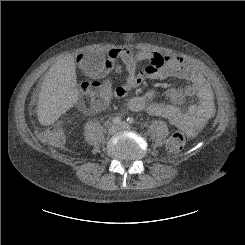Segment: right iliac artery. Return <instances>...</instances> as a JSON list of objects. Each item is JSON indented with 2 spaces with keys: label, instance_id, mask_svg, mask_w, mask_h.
Wrapping results in <instances>:
<instances>
[{
  "label": "right iliac artery",
  "instance_id": "right-iliac-artery-1",
  "mask_svg": "<svg viewBox=\"0 0 245 245\" xmlns=\"http://www.w3.org/2000/svg\"><path fill=\"white\" fill-rule=\"evenodd\" d=\"M112 122H113V124H120L121 123V118L120 117H115V118H113V120H112Z\"/></svg>",
  "mask_w": 245,
  "mask_h": 245
}]
</instances>
